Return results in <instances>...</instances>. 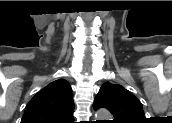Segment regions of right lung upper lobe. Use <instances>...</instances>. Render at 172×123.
I'll list each match as a JSON object with an SVG mask.
<instances>
[{"label":"right lung upper lobe","instance_id":"1","mask_svg":"<svg viewBox=\"0 0 172 123\" xmlns=\"http://www.w3.org/2000/svg\"><path fill=\"white\" fill-rule=\"evenodd\" d=\"M74 102L68 81L49 83L29 101L21 123H74Z\"/></svg>","mask_w":172,"mask_h":123}]
</instances>
